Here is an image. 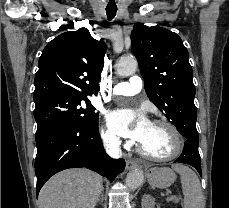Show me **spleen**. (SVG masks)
Segmentation results:
<instances>
[{"label":"spleen","instance_id":"3e777b00","mask_svg":"<svg viewBox=\"0 0 229 208\" xmlns=\"http://www.w3.org/2000/svg\"><path fill=\"white\" fill-rule=\"evenodd\" d=\"M172 168L180 176L184 194V208H202V192L198 176L191 168L182 166V164H173Z\"/></svg>","mask_w":229,"mask_h":208}]
</instances>
